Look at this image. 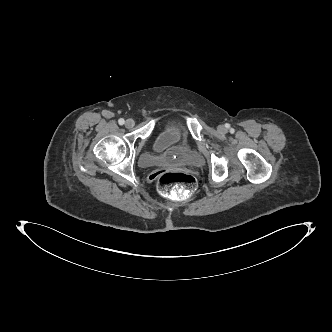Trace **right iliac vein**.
Returning <instances> with one entry per match:
<instances>
[{
    "label": "right iliac vein",
    "mask_w": 332,
    "mask_h": 332,
    "mask_svg": "<svg viewBox=\"0 0 332 332\" xmlns=\"http://www.w3.org/2000/svg\"><path fill=\"white\" fill-rule=\"evenodd\" d=\"M135 125V122L133 119H127L125 122V127L126 128H132Z\"/></svg>",
    "instance_id": "1"
}]
</instances>
